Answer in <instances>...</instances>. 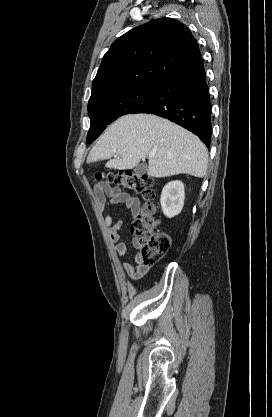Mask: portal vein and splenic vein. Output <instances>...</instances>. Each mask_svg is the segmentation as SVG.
I'll return each mask as SVG.
<instances>
[{
  "mask_svg": "<svg viewBox=\"0 0 272 417\" xmlns=\"http://www.w3.org/2000/svg\"><path fill=\"white\" fill-rule=\"evenodd\" d=\"M154 156H155V151H152V152L149 154V158H152V157H154ZM114 157L118 158V156H117V155H115Z\"/></svg>",
  "mask_w": 272,
  "mask_h": 417,
  "instance_id": "1",
  "label": "portal vein and splenic vein"
}]
</instances>
